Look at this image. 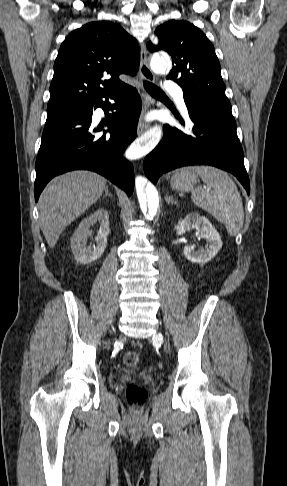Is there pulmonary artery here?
I'll return each instance as SVG.
<instances>
[{"label":"pulmonary artery","instance_id":"obj_1","mask_svg":"<svg viewBox=\"0 0 287 486\" xmlns=\"http://www.w3.org/2000/svg\"><path fill=\"white\" fill-rule=\"evenodd\" d=\"M166 91L173 93L176 96V100L179 106L186 111V106L183 98L182 89L173 81H167L164 85Z\"/></svg>","mask_w":287,"mask_h":486}]
</instances>
